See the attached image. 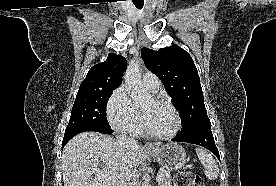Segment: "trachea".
Masks as SVG:
<instances>
[{
  "label": "trachea",
  "instance_id": "3493384b",
  "mask_svg": "<svg viewBox=\"0 0 276 186\" xmlns=\"http://www.w3.org/2000/svg\"><path fill=\"white\" fill-rule=\"evenodd\" d=\"M133 4L135 5V7L139 10H141L143 8L144 2H134Z\"/></svg>",
  "mask_w": 276,
  "mask_h": 186
}]
</instances>
